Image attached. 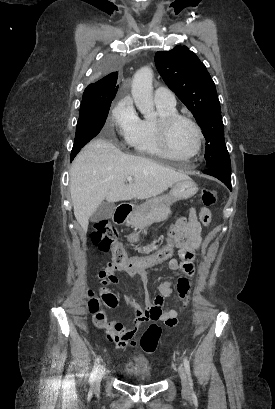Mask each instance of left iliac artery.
I'll use <instances>...</instances> for the list:
<instances>
[{
  "mask_svg": "<svg viewBox=\"0 0 275 409\" xmlns=\"http://www.w3.org/2000/svg\"><path fill=\"white\" fill-rule=\"evenodd\" d=\"M183 364H184L186 373L188 375L189 384L192 386L193 382H192L191 373H190V363H189V361H188V359L186 357L183 359Z\"/></svg>",
  "mask_w": 275,
  "mask_h": 409,
  "instance_id": "1",
  "label": "left iliac artery"
}]
</instances>
